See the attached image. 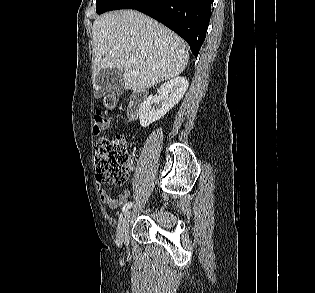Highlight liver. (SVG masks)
I'll return each mask as SVG.
<instances>
[{"label":"liver","mask_w":315,"mask_h":293,"mask_svg":"<svg viewBox=\"0 0 315 293\" xmlns=\"http://www.w3.org/2000/svg\"><path fill=\"white\" fill-rule=\"evenodd\" d=\"M92 37L95 77L103 69L118 68L123 71L124 88L135 92L178 76L189 60L187 45L178 35L133 10L96 18ZM94 87L102 95L108 91L96 81Z\"/></svg>","instance_id":"liver-1"}]
</instances>
